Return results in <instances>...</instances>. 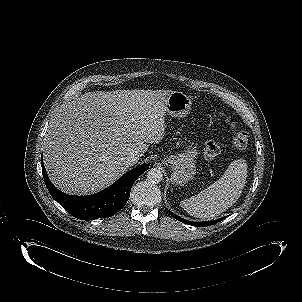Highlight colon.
Masks as SVG:
<instances>
[{
  "label": "colon",
  "mask_w": 302,
  "mask_h": 302,
  "mask_svg": "<svg viewBox=\"0 0 302 302\" xmlns=\"http://www.w3.org/2000/svg\"><path fill=\"white\" fill-rule=\"evenodd\" d=\"M231 130L233 131L232 143L237 148H244L248 143V133L241 129L235 122L227 120ZM223 144L220 140H210L205 144L203 155L206 159L216 158L221 150Z\"/></svg>",
  "instance_id": "5ec220e1"
}]
</instances>
